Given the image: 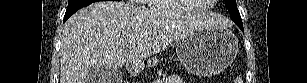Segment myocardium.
I'll use <instances>...</instances> for the list:
<instances>
[{"mask_svg": "<svg viewBox=\"0 0 307 83\" xmlns=\"http://www.w3.org/2000/svg\"><path fill=\"white\" fill-rule=\"evenodd\" d=\"M172 2L174 3V5L177 7L178 10L182 11V12H187V13H202L207 11L209 8L206 6H199V7H195V8H185L181 1L179 0H172Z\"/></svg>", "mask_w": 307, "mask_h": 83, "instance_id": "f54148a6", "label": "myocardium"}]
</instances>
